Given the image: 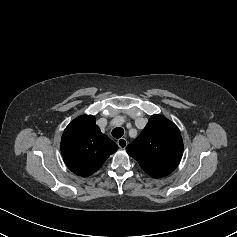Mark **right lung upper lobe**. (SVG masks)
<instances>
[{"instance_id":"cb5924a9","label":"right lung upper lobe","mask_w":237,"mask_h":237,"mask_svg":"<svg viewBox=\"0 0 237 237\" xmlns=\"http://www.w3.org/2000/svg\"><path fill=\"white\" fill-rule=\"evenodd\" d=\"M118 146L102 134L92 115L74 119L64 130L61 153L68 168L87 177L95 173Z\"/></svg>"}]
</instances>
